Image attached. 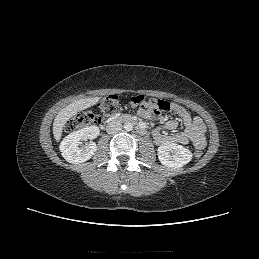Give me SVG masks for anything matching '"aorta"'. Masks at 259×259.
<instances>
[{
	"mask_svg": "<svg viewBox=\"0 0 259 259\" xmlns=\"http://www.w3.org/2000/svg\"><path fill=\"white\" fill-rule=\"evenodd\" d=\"M124 129L126 131H131L133 129V124L131 122H125L124 123Z\"/></svg>",
	"mask_w": 259,
	"mask_h": 259,
	"instance_id": "obj_1",
	"label": "aorta"
}]
</instances>
